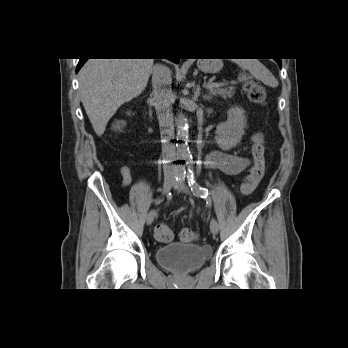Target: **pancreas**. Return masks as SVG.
Here are the masks:
<instances>
[{
    "label": "pancreas",
    "mask_w": 348,
    "mask_h": 348,
    "mask_svg": "<svg viewBox=\"0 0 348 348\" xmlns=\"http://www.w3.org/2000/svg\"><path fill=\"white\" fill-rule=\"evenodd\" d=\"M209 92L212 96L219 95L223 98H231L235 93V87H209Z\"/></svg>",
    "instance_id": "cf45deb5"
}]
</instances>
